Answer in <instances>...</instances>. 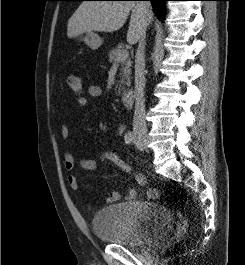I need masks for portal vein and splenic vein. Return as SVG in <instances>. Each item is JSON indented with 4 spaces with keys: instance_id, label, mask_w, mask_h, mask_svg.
<instances>
[{
    "instance_id": "18ae733b",
    "label": "portal vein and splenic vein",
    "mask_w": 245,
    "mask_h": 265,
    "mask_svg": "<svg viewBox=\"0 0 245 265\" xmlns=\"http://www.w3.org/2000/svg\"><path fill=\"white\" fill-rule=\"evenodd\" d=\"M126 58H128V51L124 50L122 53H120L117 57V62L125 60Z\"/></svg>"
}]
</instances>
